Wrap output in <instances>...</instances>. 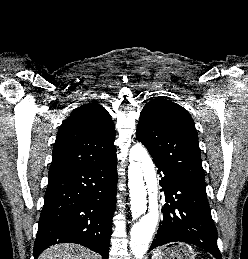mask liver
Instances as JSON below:
<instances>
[{
  "mask_svg": "<svg viewBox=\"0 0 248 259\" xmlns=\"http://www.w3.org/2000/svg\"><path fill=\"white\" fill-rule=\"evenodd\" d=\"M38 259H99V256L83 246L64 243L46 249Z\"/></svg>",
  "mask_w": 248,
  "mask_h": 259,
  "instance_id": "1",
  "label": "liver"
}]
</instances>
